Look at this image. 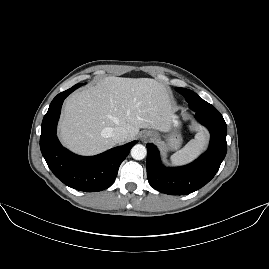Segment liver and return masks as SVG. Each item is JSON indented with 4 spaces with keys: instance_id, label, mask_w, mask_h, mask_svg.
<instances>
[{
    "instance_id": "obj_1",
    "label": "liver",
    "mask_w": 269,
    "mask_h": 269,
    "mask_svg": "<svg viewBox=\"0 0 269 269\" xmlns=\"http://www.w3.org/2000/svg\"><path fill=\"white\" fill-rule=\"evenodd\" d=\"M173 105L170 92L154 79L107 77L66 100L61 137L73 150L92 154L116 144L111 137L115 127L127 129V141L141 128L168 133Z\"/></svg>"
}]
</instances>
